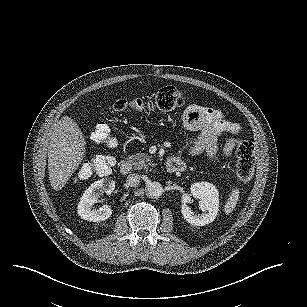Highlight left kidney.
Segmentation results:
<instances>
[{
  "label": "left kidney",
  "mask_w": 307,
  "mask_h": 307,
  "mask_svg": "<svg viewBox=\"0 0 307 307\" xmlns=\"http://www.w3.org/2000/svg\"><path fill=\"white\" fill-rule=\"evenodd\" d=\"M194 198L199 200L201 214L195 213L190 207L182 206V215L190 224L203 226L215 220L220 208L219 191L217 187L208 181L195 182L190 187ZM187 199V197L185 198Z\"/></svg>",
  "instance_id": "left-kidney-1"
}]
</instances>
